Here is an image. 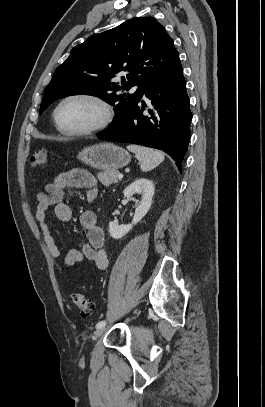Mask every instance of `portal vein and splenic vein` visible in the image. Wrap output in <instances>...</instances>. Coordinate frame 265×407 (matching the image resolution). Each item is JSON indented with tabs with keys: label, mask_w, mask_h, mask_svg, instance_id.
<instances>
[{
	"label": "portal vein and splenic vein",
	"mask_w": 265,
	"mask_h": 407,
	"mask_svg": "<svg viewBox=\"0 0 265 407\" xmlns=\"http://www.w3.org/2000/svg\"><path fill=\"white\" fill-rule=\"evenodd\" d=\"M118 178H119V179H122V178H123V174L119 173V174H118Z\"/></svg>",
	"instance_id": "portal-vein-and-splenic-vein-1"
}]
</instances>
